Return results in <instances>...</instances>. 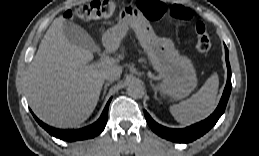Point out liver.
I'll return each instance as SVG.
<instances>
[{
  "instance_id": "obj_1",
  "label": "liver",
  "mask_w": 259,
  "mask_h": 156,
  "mask_svg": "<svg viewBox=\"0 0 259 156\" xmlns=\"http://www.w3.org/2000/svg\"><path fill=\"white\" fill-rule=\"evenodd\" d=\"M63 16L56 18L44 34L27 71L26 86L29 105L44 123L67 128L78 126L94 111L111 70L122 72L118 65L98 69L89 62L93 54L71 44L63 33ZM103 40L118 48L120 42Z\"/></svg>"
}]
</instances>
